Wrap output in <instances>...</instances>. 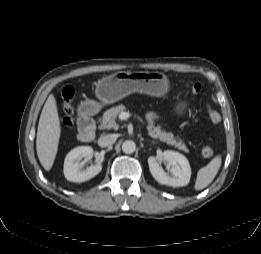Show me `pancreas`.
Instances as JSON below:
<instances>
[{
  "mask_svg": "<svg viewBox=\"0 0 261 254\" xmlns=\"http://www.w3.org/2000/svg\"><path fill=\"white\" fill-rule=\"evenodd\" d=\"M126 109L124 105H118L116 107H112L106 112H104L102 120L100 121L101 129H117L118 125L116 123V118L118 114L123 112ZM147 131L149 136L155 139H159L162 142H165L179 150L184 152H189L184 142L180 141L178 137H175L172 133L166 132L162 130L161 125L155 126L153 121H148Z\"/></svg>",
  "mask_w": 261,
  "mask_h": 254,
  "instance_id": "obj_1",
  "label": "pancreas"
}]
</instances>
